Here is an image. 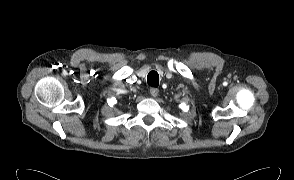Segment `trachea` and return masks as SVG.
I'll list each match as a JSON object with an SVG mask.
<instances>
[{
    "label": "trachea",
    "instance_id": "1",
    "mask_svg": "<svg viewBox=\"0 0 294 180\" xmlns=\"http://www.w3.org/2000/svg\"><path fill=\"white\" fill-rule=\"evenodd\" d=\"M147 82L149 86L157 87L159 84V75L156 71H151L148 74Z\"/></svg>",
    "mask_w": 294,
    "mask_h": 180
}]
</instances>
